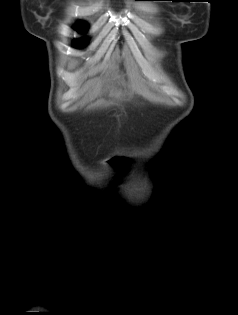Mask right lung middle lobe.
Instances as JSON below:
<instances>
[{"label":"right lung middle lobe","mask_w":238,"mask_h":315,"mask_svg":"<svg viewBox=\"0 0 238 315\" xmlns=\"http://www.w3.org/2000/svg\"><path fill=\"white\" fill-rule=\"evenodd\" d=\"M73 28L79 33H85L88 29V24L86 22L81 21V22L76 23ZM87 43H88L87 39H77L73 43V46L75 48H83L87 45Z\"/></svg>","instance_id":"obj_1"}]
</instances>
